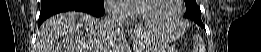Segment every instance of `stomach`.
Here are the masks:
<instances>
[{
  "label": "stomach",
  "mask_w": 261,
  "mask_h": 52,
  "mask_svg": "<svg viewBox=\"0 0 261 52\" xmlns=\"http://www.w3.org/2000/svg\"><path fill=\"white\" fill-rule=\"evenodd\" d=\"M145 28L150 32V35L141 41L143 44L141 52H169L167 45L163 42L161 33L150 26Z\"/></svg>",
  "instance_id": "0dacf381"
}]
</instances>
